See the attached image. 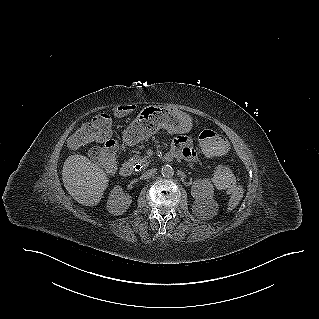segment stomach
<instances>
[{
	"label": "stomach",
	"instance_id": "0dacf381",
	"mask_svg": "<svg viewBox=\"0 0 319 319\" xmlns=\"http://www.w3.org/2000/svg\"><path fill=\"white\" fill-rule=\"evenodd\" d=\"M192 126L191 117L173 106H150L129 123L127 135L130 140L141 142L161 128L172 134H184L189 133Z\"/></svg>",
	"mask_w": 319,
	"mask_h": 319
}]
</instances>
